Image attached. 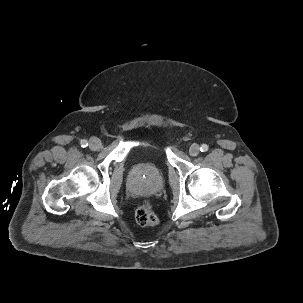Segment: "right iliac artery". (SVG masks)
<instances>
[{
  "mask_svg": "<svg viewBox=\"0 0 303 303\" xmlns=\"http://www.w3.org/2000/svg\"><path fill=\"white\" fill-rule=\"evenodd\" d=\"M80 144H81L82 147H87L88 146L87 140H81Z\"/></svg>",
  "mask_w": 303,
  "mask_h": 303,
  "instance_id": "82829eb1",
  "label": "right iliac artery"
}]
</instances>
